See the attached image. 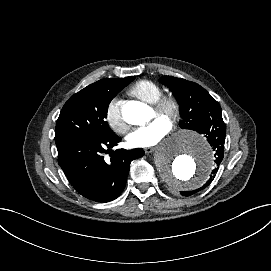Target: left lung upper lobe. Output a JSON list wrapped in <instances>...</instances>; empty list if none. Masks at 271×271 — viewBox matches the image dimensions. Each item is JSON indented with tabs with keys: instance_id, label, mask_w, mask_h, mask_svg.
Returning <instances> with one entry per match:
<instances>
[{
	"instance_id": "1",
	"label": "left lung upper lobe",
	"mask_w": 271,
	"mask_h": 271,
	"mask_svg": "<svg viewBox=\"0 0 271 271\" xmlns=\"http://www.w3.org/2000/svg\"><path fill=\"white\" fill-rule=\"evenodd\" d=\"M161 83L169 87L180 105L181 128L196 131L214 116L222 114L220 104L200 85L172 76H163Z\"/></svg>"
}]
</instances>
